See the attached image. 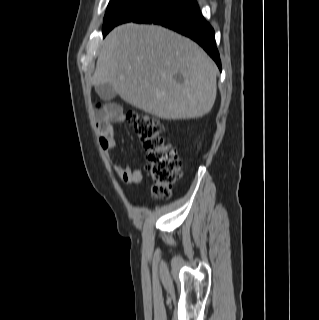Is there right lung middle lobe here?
I'll return each instance as SVG.
<instances>
[{
	"instance_id": "1",
	"label": "right lung middle lobe",
	"mask_w": 319,
	"mask_h": 320,
	"mask_svg": "<svg viewBox=\"0 0 319 320\" xmlns=\"http://www.w3.org/2000/svg\"><path fill=\"white\" fill-rule=\"evenodd\" d=\"M177 0H110L104 17L102 32L110 31L114 26L134 21L139 17L165 8Z\"/></svg>"
}]
</instances>
